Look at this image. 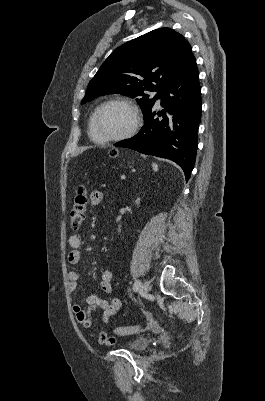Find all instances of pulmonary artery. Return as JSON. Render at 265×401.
<instances>
[{
  "label": "pulmonary artery",
  "mask_w": 265,
  "mask_h": 401,
  "mask_svg": "<svg viewBox=\"0 0 265 401\" xmlns=\"http://www.w3.org/2000/svg\"><path fill=\"white\" fill-rule=\"evenodd\" d=\"M152 95H155V92H152ZM160 102V99H158V102L157 103H159Z\"/></svg>",
  "instance_id": "pulmonary-artery-1"
}]
</instances>
